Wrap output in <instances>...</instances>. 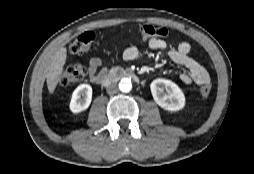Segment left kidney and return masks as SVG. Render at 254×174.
Listing matches in <instances>:
<instances>
[{
	"instance_id": "1",
	"label": "left kidney",
	"mask_w": 254,
	"mask_h": 174,
	"mask_svg": "<svg viewBox=\"0 0 254 174\" xmlns=\"http://www.w3.org/2000/svg\"><path fill=\"white\" fill-rule=\"evenodd\" d=\"M154 101L168 111H179L185 106V95L174 82L158 78L150 85Z\"/></svg>"
}]
</instances>
